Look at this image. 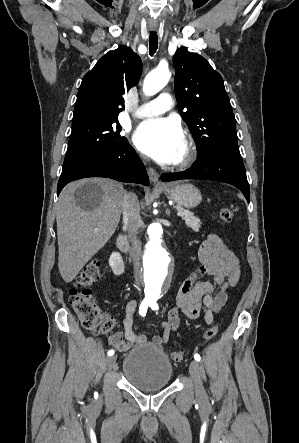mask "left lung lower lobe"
Instances as JSON below:
<instances>
[{
    "label": "left lung lower lobe",
    "mask_w": 299,
    "mask_h": 443,
    "mask_svg": "<svg viewBox=\"0 0 299 443\" xmlns=\"http://www.w3.org/2000/svg\"><path fill=\"white\" fill-rule=\"evenodd\" d=\"M162 181L180 179H208L229 183L237 187L250 202V189L241 155L228 151H212L197 157L191 168L178 173H165Z\"/></svg>",
    "instance_id": "0a47b994"
}]
</instances>
